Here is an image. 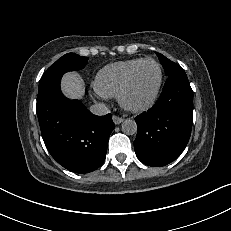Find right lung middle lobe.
Masks as SVG:
<instances>
[{
  "mask_svg": "<svg viewBox=\"0 0 231 231\" xmlns=\"http://www.w3.org/2000/svg\"><path fill=\"white\" fill-rule=\"evenodd\" d=\"M88 57H82L75 53H68L59 58L48 70L43 74L40 83L59 75H63L65 72L79 70L84 68L87 64Z\"/></svg>",
  "mask_w": 231,
  "mask_h": 231,
  "instance_id": "1",
  "label": "right lung middle lobe"
}]
</instances>
